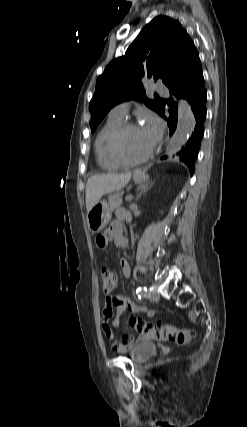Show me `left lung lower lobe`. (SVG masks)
Segmentation results:
<instances>
[{
	"label": "left lung lower lobe",
	"instance_id": "1",
	"mask_svg": "<svg viewBox=\"0 0 247 427\" xmlns=\"http://www.w3.org/2000/svg\"><path fill=\"white\" fill-rule=\"evenodd\" d=\"M172 96L164 104L169 106V116L165 115L162 106L159 114L168 122L170 135L174 133L177 126V99L184 98L191 105L195 116L196 125L187 143L174 155L187 164L191 174L194 171V163L198 155L201 140L204 134V121L206 118L207 94L204 87V78L199 57L193 62L190 68L178 79L167 85Z\"/></svg>",
	"mask_w": 247,
	"mask_h": 427
}]
</instances>
